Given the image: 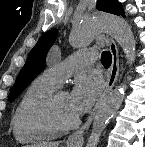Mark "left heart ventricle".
<instances>
[{"mask_svg":"<svg viewBox=\"0 0 145 147\" xmlns=\"http://www.w3.org/2000/svg\"><path fill=\"white\" fill-rule=\"evenodd\" d=\"M57 107L64 119L71 120L76 117L71 109L70 94L68 92H61L58 95Z\"/></svg>","mask_w":145,"mask_h":147,"instance_id":"obj_1","label":"left heart ventricle"}]
</instances>
